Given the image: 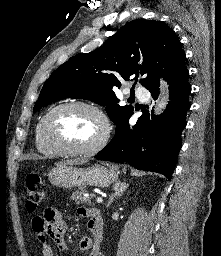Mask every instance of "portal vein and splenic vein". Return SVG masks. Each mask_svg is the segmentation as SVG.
<instances>
[{"label":"portal vein and splenic vein","mask_w":221,"mask_h":256,"mask_svg":"<svg viewBox=\"0 0 221 256\" xmlns=\"http://www.w3.org/2000/svg\"><path fill=\"white\" fill-rule=\"evenodd\" d=\"M96 202L97 203H102L103 202V198L102 197H97L96 198Z\"/></svg>","instance_id":"18ae733b"}]
</instances>
